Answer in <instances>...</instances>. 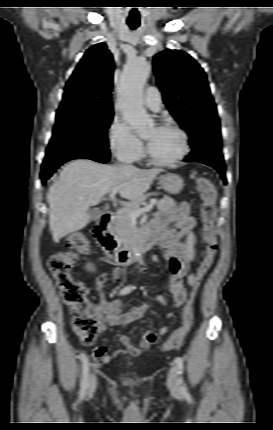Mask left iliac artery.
I'll use <instances>...</instances> for the list:
<instances>
[{
	"label": "left iliac artery",
	"mask_w": 273,
	"mask_h": 430,
	"mask_svg": "<svg viewBox=\"0 0 273 430\" xmlns=\"http://www.w3.org/2000/svg\"><path fill=\"white\" fill-rule=\"evenodd\" d=\"M175 363L177 365V369H178V374H182L183 372V368H184V363H183V358L182 357H176L175 359ZM180 382L183 381L182 377H180L179 379Z\"/></svg>",
	"instance_id": "1"
}]
</instances>
